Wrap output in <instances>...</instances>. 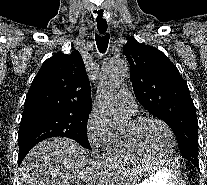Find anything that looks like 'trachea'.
<instances>
[{"label":"trachea","mask_w":207,"mask_h":185,"mask_svg":"<svg viewBox=\"0 0 207 185\" xmlns=\"http://www.w3.org/2000/svg\"><path fill=\"white\" fill-rule=\"evenodd\" d=\"M97 28L98 31L100 33V35H95V40H96V44L98 47V50L101 53H104L107 50L108 47V43H109V34H105L106 30H107V25L105 29L101 28V23L97 22Z\"/></svg>","instance_id":"trachea-1"}]
</instances>
